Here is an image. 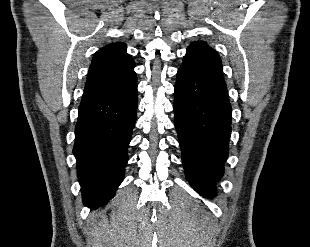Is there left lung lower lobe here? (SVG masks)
Instances as JSON below:
<instances>
[{"mask_svg": "<svg viewBox=\"0 0 310 247\" xmlns=\"http://www.w3.org/2000/svg\"><path fill=\"white\" fill-rule=\"evenodd\" d=\"M175 127L185 173L205 197L215 195L224 172L231 134V105L225 82L179 68L175 84Z\"/></svg>", "mask_w": 310, "mask_h": 247, "instance_id": "1", "label": "left lung lower lobe"}]
</instances>
